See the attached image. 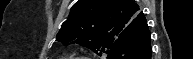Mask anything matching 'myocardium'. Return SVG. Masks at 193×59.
<instances>
[{"label": "myocardium", "instance_id": "myocardium-1", "mask_svg": "<svg viewBox=\"0 0 193 59\" xmlns=\"http://www.w3.org/2000/svg\"><path fill=\"white\" fill-rule=\"evenodd\" d=\"M71 59H91V58H88V57H77V58H71Z\"/></svg>", "mask_w": 193, "mask_h": 59}]
</instances>
